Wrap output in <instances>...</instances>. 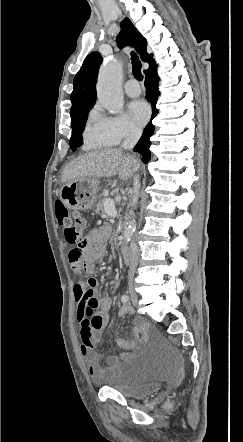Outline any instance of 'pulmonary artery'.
<instances>
[{"label": "pulmonary artery", "mask_w": 243, "mask_h": 442, "mask_svg": "<svg viewBox=\"0 0 243 442\" xmlns=\"http://www.w3.org/2000/svg\"><path fill=\"white\" fill-rule=\"evenodd\" d=\"M126 94L130 97H137L140 95L141 89L136 79H129L124 86Z\"/></svg>", "instance_id": "pulmonary-artery-1"}]
</instances>
